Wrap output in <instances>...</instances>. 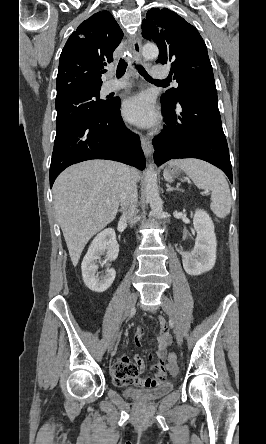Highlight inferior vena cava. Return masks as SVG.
<instances>
[{
    "label": "inferior vena cava",
    "mask_w": 266,
    "mask_h": 444,
    "mask_svg": "<svg viewBox=\"0 0 266 444\" xmlns=\"http://www.w3.org/2000/svg\"><path fill=\"white\" fill-rule=\"evenodd\" d=\"M137 185L136 180L131 174L130 168L127 166L122 167V182H121V195L120 204L122 217L129 221H133L136 218L137 213Z\"/></svg>",
    "instance_id": "1"
}]
</instances>
